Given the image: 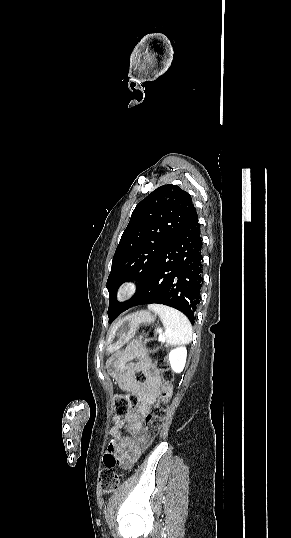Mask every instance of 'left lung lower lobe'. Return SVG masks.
<instances>
[{"label":"left lung lower lobe","instance_id":"1","mask_svg":"<svg viewBox=\"0 0 291 538\" xmlns=\"http://www.w3.org/2000/svg\"><path fill=\"white\" fill-rule=\"evenodd\" d=\"M201 250L196 215L162 253L136 298L114 313L109 322L130 307L156 303L180 310L194 324L203 283Z\"/></svg>","mask_w":291,"mask_h":538}]
</instances>
